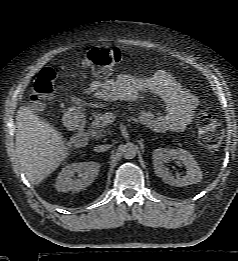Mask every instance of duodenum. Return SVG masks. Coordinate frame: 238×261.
<instances>
[{
	"label": "duodenum",
	"mask_w": 238,
	"mask_h": 261,
	"mask_svg": "<svg viewBox=\"0 0 238 261\" xmlns=\"http://www.w3.org/2000/svg\"><path fill=\"white\" fill-rule=\"evenodd\" d=\"M66 122L70 128L75 130L70 143L74 147H83L87 144L89 135L86 131V121L81 113H71L67 116Z\"/></svg>",
	"instance_id": "1"
}]
</instances>
